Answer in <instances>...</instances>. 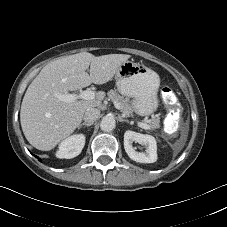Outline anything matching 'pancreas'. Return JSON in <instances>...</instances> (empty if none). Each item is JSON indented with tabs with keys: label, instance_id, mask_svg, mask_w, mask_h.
<instances>
[{
	"label": "pancreas",
	"instance_id": "cf45deb5",
	"mask_svg": "<svg viewBox=\"0 0 227 227\" xmlns=\"http://www.w3.org/2000/svg\"><path fill=\"white\" fill-rule=\"evenodd\" d=\"M109 99L112 100L114 104H118L120 107L121 112L124 116L130 117L133 116V108L129 101V99L124 98L123 96L119 95L116 91L110 90L108 92ZM159 118L153 116L152 119L148 120L147 123L150 126V129L155 130L160 127L159 125Z\"/></svg>",
	"mask_w": 227,
	"mask_h": 227
}]
</instances>
